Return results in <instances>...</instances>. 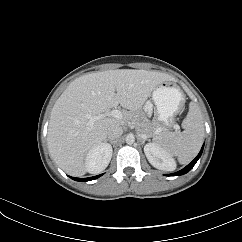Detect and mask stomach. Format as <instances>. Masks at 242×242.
Segmentation results:
<instances>
[{"label": "stomach", "mask_w": 242, "mask_h": 242, "mask_svg": "<svg viewBox=\"0 0 242 242\" xmlns=\"http://www.w3.org/2000/svg\"><path fill=\"white\" fill-rule=\"evenodd\" d=\"M152 99L156 106L158 121L167 126L174 122L185 103L182 90L169 81L163 82L154 89Z\"/></svg>", "instance_id": "0dacf381"}]
</instances>
